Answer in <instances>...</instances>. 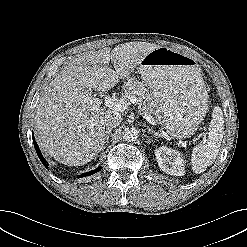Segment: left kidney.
<instances>
[{
  "instance_id": "left-kidney-1",
  "label": "left kidney",
  "mask_w": 247,
  "mask_h": 247,
  "mask_svg": "<svg viewBox=\"0 0 247 247\" xmlns=\"http://www.w3.org/2000/svg\"><path fill=\"white\" fill-rule=\"evenodd\" d=\"M155 155L163 172L174 176L185 174V161L178 151L162 146L155 150Z\"/></svg>"
}]
</instances>
